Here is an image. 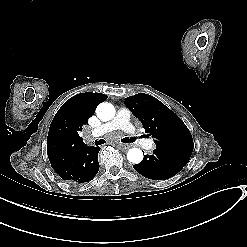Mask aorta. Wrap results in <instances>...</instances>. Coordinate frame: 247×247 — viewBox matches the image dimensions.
Segmentation results:
<instances>
[{"instance_id": "762f6f07", "label": "aorta", "mask_w": 247, "mask_h": 247, "mask_svg": "<svg viewBox=\"0 0 247 247\" xmlns=\"http://www.w3.org/2000/svg\"><path fill=\"white\" fill-rule=\"evenodd\" d=\"M97 117L102 121H109L115 116V108L112 104L104 102L96 108ZM127 159L131 163L139 164L143 160V153L138 148L128 150Z\"/></svg>"}]
</instances>
